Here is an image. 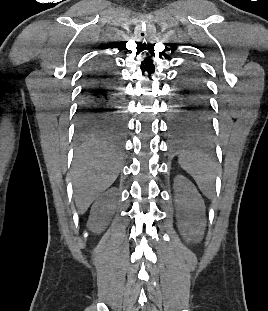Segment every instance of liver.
<instances>
[{"instance_id":"1","label":"liver","mask_w":268,"mask_h":311,"mask_svg":"<svg viewBox=\"0 0 268 311\" xmlns=\"http://www.w3.org/2000/svg\"><path fill=\"white\" fill-rule=\"evenodd\" d=\"M119 156L107 146L80 150L73 163L75 201L80 214L116 180L120 171Z\"/></svg>"}]
</instances>
